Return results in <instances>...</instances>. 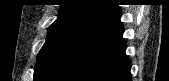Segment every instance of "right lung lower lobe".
<instances>
[{
  "label": "right lung lower lobe",
  "instance_id": "98d812e1",
  "mask_svg": "<svg viewBox=\"0 0 169 81\" xmlns=\"http://www.w3.org/2000/svg\"><path fill=\"white\" fill-rule=\"evenodd\" d=\"M120 8L86 22L34 72V81H131Z\"/></svg>",
  "mask_w": 169,
  "mask_h": 81
}]
</instances>
